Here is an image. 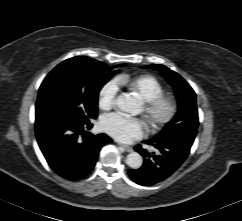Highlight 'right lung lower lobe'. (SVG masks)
I'll use <instances>...</instances> for the list:
<instances>
[{"instance_id":"right-lung-lower-lobe-1","label":"right lung lower lobe","mask_w":242,"mask_h":221,"mask_svg":"<svg viewBox=\"0 0 242 221\" xmlns=\"http://www.w3.org/2000/svg\"><path fill=\"white\" fill-rule=\"evenodd\" d=\"M91 120L47 116L35 121L39 147L50 167L60 176L77 181L95 166L100 149L112 139L106 134L87 133Z\"/></svg>"}]
</instances>
